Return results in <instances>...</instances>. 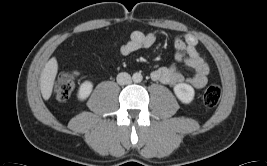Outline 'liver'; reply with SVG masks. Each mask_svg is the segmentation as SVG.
Wrapping results in <instances>:
<instances>
[{
  "label": "liver",
  "mask_w": 267,
  "mask_h": 166,
  "mask_svg": "<svg viewBox=\"0 0 267 166\" xmlns=\"http://www.w3.org/2000/svg\"><path fill=\"white\" fill-rule=\"evenodd\" d=\"M58 72V63L55 57H52L45 65L40 76V90L44 100L51 97L54 81Z\"/></svg>",
  "instance_id": "obj_1"
}]
</instances>
